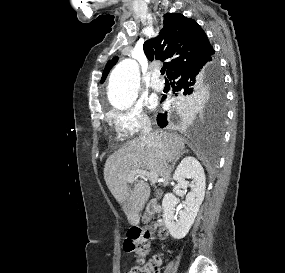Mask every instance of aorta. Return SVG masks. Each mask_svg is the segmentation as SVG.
Instances as JSON below:
<instances>
[{"label":"aorta","mask_w":285,"mask_h":273,"mask_svg":"<svg viewBox=\"0 0 285 273\" xmlns=\"http://www.w3.org/2000/svg\"><path fill=\"white\" fill-rule=\"evenodd\" d=\"M140 85L138 64L131 59L121 61L111 72L108 85V100L119 110L130 108L137 99Z\"/></svg>","instance_id":"762f6f07"}]
</instances>
